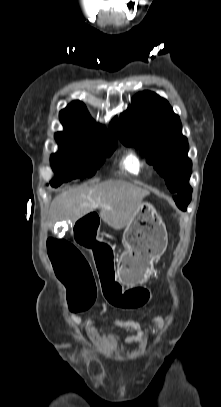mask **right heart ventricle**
<instances>
[{"label":"right heart ventricle","mask_w":221,"mask_h":407,"mask_svg":"<svg viewBox=\"0 0 221 407\" xmlns=\"http://www.w3.org/2000/svg\"><path fill=\"white\" fill-rule=\"evenodd\" d=\"M122 166L135 175L139 174L144 168L143 162L134 154L127 155L122 161Z\"/></svg>","instance_id":"1"}]
</instances>
